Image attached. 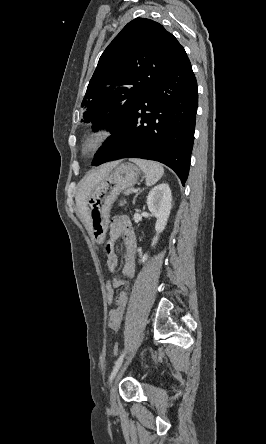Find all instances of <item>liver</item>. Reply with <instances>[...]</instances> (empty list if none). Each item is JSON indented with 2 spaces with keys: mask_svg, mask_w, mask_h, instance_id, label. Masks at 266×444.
Segmentation results:
<instances>
[{
  "mask_svg": "<svg viewBox=\"0 0 266 444\" xmlns=\"http://www.w3.org/2000/svg\"><path fill=\"white\" fill-rule=\"evenodd\" d=\"M118 162H111L100 166L98 169L90 171L79 183L78 192L76 195V205L86 222V228L89 230L87 215L85 210L86 201L96 187V185L103 180L116 167Z\"/></svg>",
  "mask_w": 266,
  "mask_h": 444,
  "instance_id": "obj_1",
  "label": "liver"
}]
</instances>
